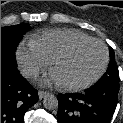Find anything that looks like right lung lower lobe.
Returning <instances> with one entry per match:
<instances>
[{"mask_svg": "<svg viewBox=\"0 0 123 123\" xmlns=\"http://www.w3.org/2000/svg\"><path fill=\"white\" fill-rule=\"evenodd\" d=\"M38 101L37 90L16 64L1 59V123H24L25 112Z\"/></svg>", "mask_w": 123, "mask_h": 123, "instance_id": "obj_1", "label": "right lung lower lobe"}]
</instances>
